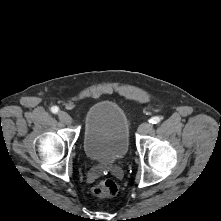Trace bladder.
<instances>
[{"mask_svg":"<svg viewBox=\"0 0 221 221\" xmlns=\"http://www.w3.org/2000/svg\"><path fill=\"white\" fill-rule=\"evenodd\" d=\"M129 141L128 118L118 104L105 100L87 110L83 147L90 159L101 163L120 159L127 153Z\"/></svg>","mask_w":221,"mask_h":221,"instance_id":"31cf9c89","label":"bladder"}]
</instances>
